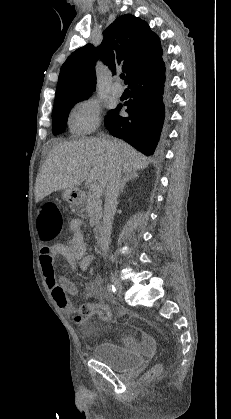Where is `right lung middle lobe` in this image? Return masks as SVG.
<instances>
[{
	"instance_id": "right-lung-middle-lobe-1",
	"label": "right lung middle lobe",
	"mask_w": 231,
	"mask_h": 419,
	"mask_svg": "<svg viewBox=\"0 0 231 419\" xmlns=\"http://www.w3.org/2000/svg\"><path fill=\"white\" fill-rule=\"evenodd\" d=\"M88 96L70 98L54 103L52 112V132L54 135L61 134L67 124V118L72 107L79 101L86 99Z\"/></svg>"
}]
</instances>
